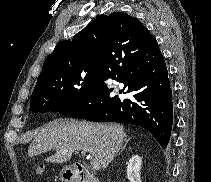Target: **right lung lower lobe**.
<instances>
[{
  "label": "right lung lower lobe",
  "mask_w": 211,
  "mask_h": 182,
  "mask_svg": "<svg viewBox=\"0 0 211 182\" xmlns=\"http://www.w3.org/2000/svg\"><path fill=\"white\" fill-rule=\"evenodd\" d=\"M99 77L85 98L64 115L97 122H118L148 130L166 148L173 123L172 91L168 71L156 39L107 44ZM124 84L113 96L105 81Z\"/></svg>",
  "instance_id": "1"
}]
</instances>
